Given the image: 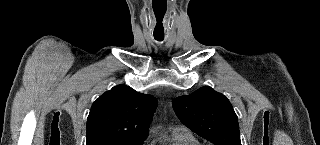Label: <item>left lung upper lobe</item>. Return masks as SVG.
Listing matches in <instances>:
<instances>
[{"instance_id":"1","label":"left lung upper lobe","mask_w":320,"mask_h":145,"mask_svg":"<svg viewBox=\"0 0 320 145\" xmlns=\"http://www.w3.org/2000/svg\"><path fill=\"white\" fill-rule=\"evenodd\" d=\"M172 105L184 125L214 145H241L238 119L231 103L211 87L180 96Z\"/></svg>"}]
</instances>
